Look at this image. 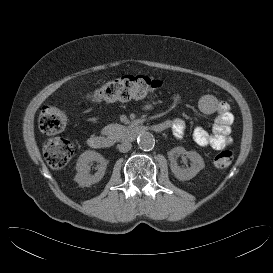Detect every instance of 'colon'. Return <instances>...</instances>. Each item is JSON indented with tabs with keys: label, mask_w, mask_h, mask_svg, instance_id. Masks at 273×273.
I'll return each instance as SVG.
<instances>
[{
	"label": "colon",
	"mask_w": 273,
	"mask_h": 273,
	"mask_svg": "<svg viewBox=\"0 0 273 273\" xmlns=\"http://www.w3.org/2000/svg\"><path fill=\"white\" fill-rule=\"evenodd\" d=\"M162 82L147 76H123L104 82L94 89L89 98L92 102L127 101L141 98L159 90ZM68 123L66 111L58 106H45L39 117V127L45 134H56L65 129ZM44 156L48 164L55 169L62 168L73 156V145L62 138H49L43 144ZM234 155L230 149L220 151L214 159L218 168L231 165Z\"/></svg>",
	"instance_id": "1"
}]
</instances>
